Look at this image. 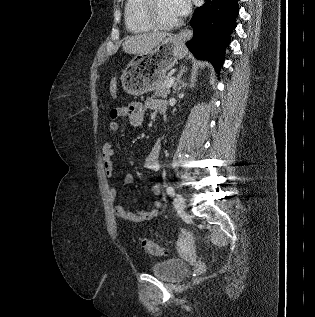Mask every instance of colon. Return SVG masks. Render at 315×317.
<instances>
[{
  "label": "colon",
  "mask_w": 315,
  "mask_h": 317,
  "mask_svg": "<svg viewBox=\"0 0 315 317\" xmlns=\"http://www.w3.org/2000/svg\"><path fill=\"white\" fill-rule=\"evenodd\" d=\"M110 93L112 96H116L117 94V81L115 79H113L111 82ZM142 246L147 253L153 256H162L166 254V251L164 248H162L160 245L156 244L154 241H152L149 238L142 239Z\"/></svg>",
  "instance_id": "colon-1"
}]
</instances>
